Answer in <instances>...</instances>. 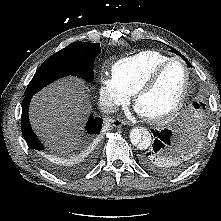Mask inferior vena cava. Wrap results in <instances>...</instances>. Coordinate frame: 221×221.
Masks as SVG:
<instances>
[{"label":"inferior vena cava","mask_w":221,"mask_h":221,"mask_svg":"<svg viewBox=\"0 0 221 221\" xmlns=\"http://www.w3.org/2000/svg\"><path fill=\"white\" fill-rule=\"evenodd\" d=\"M99 107L103 113L109 114L117 111V107L109 101L102 100L99 102Z\"/></svg>","instance_id":"1"}]
</instances>
